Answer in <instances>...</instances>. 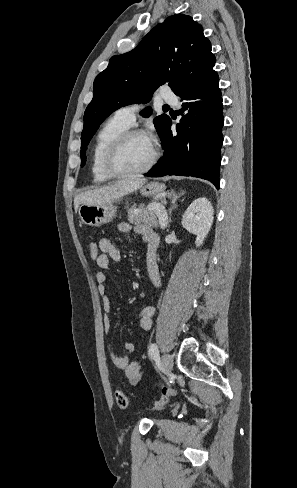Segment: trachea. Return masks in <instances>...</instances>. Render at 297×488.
Masks as SVG:
<instances>
[{
	"mask_svg": "<svg viewBox=\"0 0 297 488\" xmlns=\"http://www.w3.org/2000/svg\"><path fill=\"white\" fill-rule=\"evenodd\" d=\"M163 108H169V105H164Z\"/></svg>",
	"mask_w": 297,
	"mask_h": 488,
	"instance_id": "1",
	"label": "trachea"
}]
</instances>
